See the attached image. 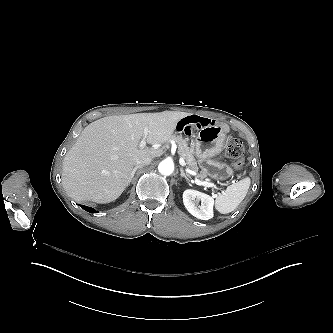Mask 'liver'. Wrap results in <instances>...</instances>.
I'll list each match as a JSON object with an SVG mask.
<instances>
[{
  "mask_svg": "<svg viewBox=\"0 0 333 333\" xmlns=\"http://www.w3.org/2000/svg\"><path fill=\"white\" fill-rule=\"evenodd\" d=\"M191 113L164 111L109 116L89 124L63 160L62 184L76 202L109 203L121 196L139 159L160 157L157 145L174 138L178 122ZM144 129L147 144L140 140Z\"/></svg>",
  "mask_w": 333,
  "mask_h": 333,
  "instance_id": "1",
  "label": "liver"
}]
</instances>
